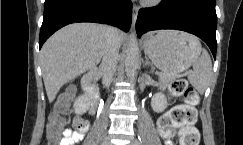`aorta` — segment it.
Masks as SVG:
<instances>
[{"label": "aorta", "mask_w": 243, "mask_h": 145, "mask_svg": "<svg viewBox=\"0 0 243 145\" xmlns=\"http://www.w3.org/2000/svg\"><path fill=\"white\" fill-rule=\"evenodd\" d=\"M139 67V47L134 34L130 35L129 44L126 50L125 70L130 81L135 78Z\"/></svg>", "instance_id": "762f6f07"}]
</instances>
